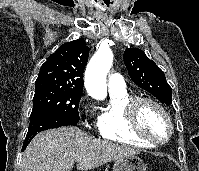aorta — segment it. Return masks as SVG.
<instances>
[{
	"mask_svg": "<svg viewBox=\"0 0 199 171\" xmlns=\"http://www.w3.org/2000/svg\"><path fill=\"white\" fill-rule=\"evenodd\" d=\"M112 62V51L109 48H99L87 65L85 88L87 93L97 100H104L107 96L106 77Z\"/></svg>",
	"mask_w": 199,
	"mask_h": 171,
	"instance_id": "762f6f07",
	"label": "aorta"
}]
</instances>
